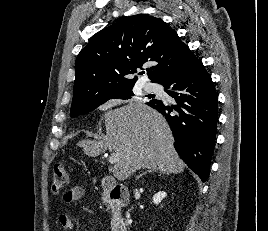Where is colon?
Instances as JSON below:
<instances>
[{"label": "colon", "mask_w": 268, "mask_h": 231, "mask_svg": "<svg viewBox=\"0 0 268 231\" xmlns=\"http://www.w3.org/2000/svg\"><path fill=\"white\" fill-rule=\"evenodd\" d=\"M52 188L54 192H63L69 184L67 166L63 162L57 163L52 172Z\"/></svg>", "instance_id": "obj_1"}]
</instances>
